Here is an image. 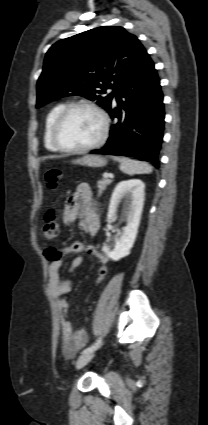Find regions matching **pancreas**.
Returning <instances> with one entry per match:
<instances>
[{
    "instance_id": "1",
    "label": "pancreas",
    "mask_w": 208,
    "mask_h": 425,
    "mask_svg": "<svg viewBox=\"0 0 208 425\" xmlns=\"http://www.w3.org/2000/svg\"><path fill=\"white\" fill-rule=\"evenodd\" d=\"M111 182L112 181L108 179H102L97 182L98 196L102 194V192L106 189V187L111 184Z\"/></svg>"
}]
</instances>
